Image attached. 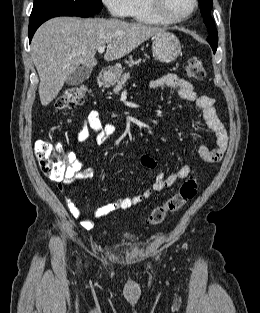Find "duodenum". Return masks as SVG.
Wrapping results in <instances>:
<instances>
[{"instance_id": "410a0bca", "label": "duodenum", "mask_w": 260, "mask_h": 313, "mask_svg": "<svg viewBox=\"0 0 260 313\" xmlns=\"http://www.w3.org/2000/svg\"><path fill=\"white\" fill-rule=\"evenodd\" d=\"M109 82V75L107 70H103L100 79H99V84L100 86H105Z\"/></svg>"}]
</instances>
